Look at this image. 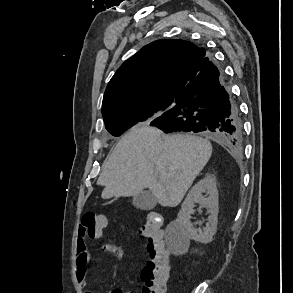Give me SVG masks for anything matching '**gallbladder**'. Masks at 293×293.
I'll return each instance as SVG.
<instances>
[{"instance_id":"gallbladder-1","label":"gallbladder","mask_w":293,"mask_h":293,"mask_svg":"<svg viewBox=\"0 0 293 293\" xmlns=\"http://www.w3.org/2000/svg\"><path fill=\"white\" fill-rule=\"evenodd\" d=\"M132 204L141 210H151L157 204L156 197L149 191H142L133 197Z\"/></svg>"}]
</instances>
